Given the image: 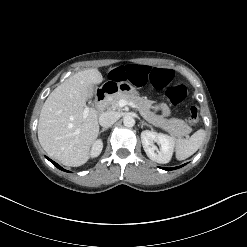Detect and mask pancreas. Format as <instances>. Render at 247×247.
Returning <instances> with one entry per match:
<instances>
[{
	"label": "pancreas",
	"mask_w": 247,
	"mask_h": 247,
	"mask_svg": "<svg viewBox=\"0 0 247 247\" xmlns=\"http://www.w3.org/2000/svg\"><path fill=\"white\" fill-rule=\"evenodd\" d=\"M126 100L127 102L134 103L140 114L144 119L151 122L157 127L162 128L164 131L177 137L187 136L191 132L190 126L181 119L171 118L165 119L163 116L153 115L150 109L152 108L153 101L144 99L138 95L126 94L119 92L107 98V103L114 109H118V102Z\"/></svg>",
	"instance_id": "pancreas-1"
}]
</instances>
